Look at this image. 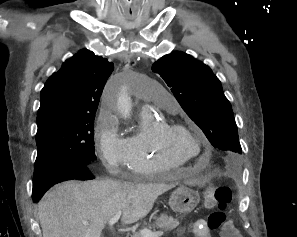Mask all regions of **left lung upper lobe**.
<instances>
[{"mask_svg":"<svg viewBox=\"0 0 297 237\" xmlns=\"http://www.w3.org/2000/svg\"><path fill=\"white\" fill-rule=\"evenodd\" d=\"M158 73L188 116L227 160L242 153L231 104L211 69L184 52H173L156 61Z\"/></svg>","mask_w":297,"mask_h":237,"instance_id":"obj_1","label":"left lung upper lobe"}]
</instances>
